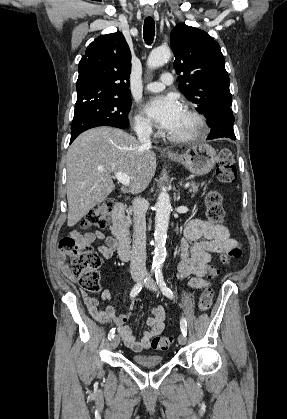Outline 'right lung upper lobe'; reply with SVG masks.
I'll use <instances>...</instances> for the list:
<instances>
[{
    "mask_svg": "<svg viewBox=\"0 0 287 419\" xmlns=\"http://www.w3.org/2000/svg\"><path fill=\"white\" fill-rule=\"evenodd\" d=\"M130 61V49L121 32L97 37L79 63L75 108L130 97Z\"/></svg>",
    "mask_w": 287,
    "mask_h": 419,
    "instance_id": "right-lung-upper-lobe-1",
    "label": "right lung upper lobe"
}]
</instances>
